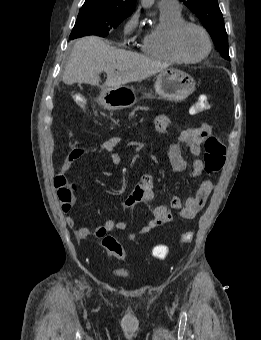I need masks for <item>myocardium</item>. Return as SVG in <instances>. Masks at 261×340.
<instances>
[{"label":"myocardium","instance_id":"obj_1","mask_svg":"<svg viewBox=\"0 0 261 340\" xmlns=\"http://www.w3.org/2000/svg\"><path fill=\"white\" fill-rule=\"evenodd\" d=\"M187 27H195V28L199 29L203 33V35L206 39V42H207L206 52L198 58H188L180 50L179 39H180L182 32ZM170 46H171L172 51L175 53V55L181 61L186 62V63H198V62L203 61L204 59H206L210 55V53L212 51V40H211L209 32L207 31V29L203 25H201L197 22H194V21L183 20L182 22L177 24L172 29L171 35H170Z\"/></svg>","mask_w":261,"mask_h":340}]
</instances>
